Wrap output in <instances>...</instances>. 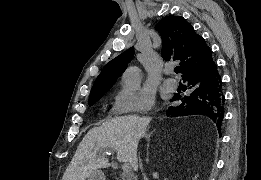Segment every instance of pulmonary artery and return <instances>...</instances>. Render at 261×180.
<instances>
[{
    "label": "pulmonary artery",
    "mask_w": 261,
    "mask_h": 180,
    "mask_svg": "<svg viewBox=\"0 0 261 180\" xmlns=\"http://www.w3.org/2000/svg\"><path fill=\"white\" fill-rule=\"evenodd\" d=\"M165 74L170 76V78L166 79L164 82L165 87L170 90H174L178 87V82L175 78H173V69H165Z\"/></svg>",
    "instance_id": "1"
}]
</instances>
